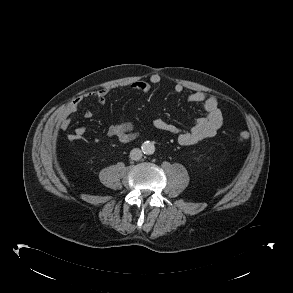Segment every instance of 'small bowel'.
<instances>
[{
	"label": "small bowel",
	"mask_w": 293,
	"mask_h": 293,
	"mask_svg": "<svg viewBox=\"0 0 293 293\" xmlns=\"http://www.w3.org/2000/svg\"><path fill=\"white\" fill-rule=\"evenodd\" d=\"M159 82L160 76L158 74H153L150 76L149 81H136L130 85V88L137 92L148 93L152 85H156ZM110 90V88L104 87L94 92L76 96L56 112L52 119L54 126L61 130L68 129L71 124V115L78 110L79 105L85 99L92 98L100 105H104ZM174 91L176 93H181L183 91V86L181 84H176L174 86ZM187 101L190 103L201 104L206 112L204 116L193 119L192 126L189 130H181L162 118H157L153 121V126L156 129L176 135L178 143L182 146L194 145L200 141L215 136L224 121L223 113L215 96L196 91L187 96ZM84 117L86 119L92 118L93 112L91 110H86L84 112ZM85 132L86 128L84 126H79L73 132L68 134L67 138L70 141H77L82 139ZM107 134L110 137H115L121 143H129L137 137V132L131 122L112 124L108 128Z\"/></svg>",
	"instance_id": "1"
}]
</instances>
